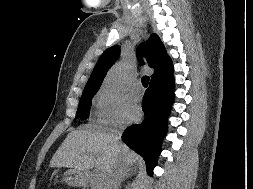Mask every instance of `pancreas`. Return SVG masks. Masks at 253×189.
Segmentation results:
<instances>
[{"label":"pancreas","mask_w":253,"mask_h":189,"mask_svg":"<svg viewBox=\"0 0 253 189\" xmlns=\"http://www.w3.org/2000/svg\"><path fill=\"white\" fill-rule=\"evenodd\" d=\"M91 189H103V176L99 173H93L89 176Z\"/></svg>","instance_id":"pancreas-1"}]
</instances>
